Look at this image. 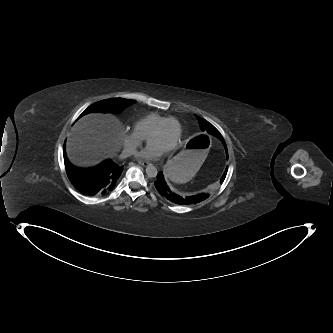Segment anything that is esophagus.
Segmentation results:
<instances>
[{"label": "esophagus", "mask_w": 333, "mask_h": 333, "mask_svg": "<svg viewBox=\"0 0 333 333\" xmlns=\"http://www.w3.org/2000/svg\"><path fill=\"white\" fill-rule=\"evenodd\" d=\"M138 163L144 167L150 165V163L148 161H145V160H138Z\"/></svg>", "instance_id": "esophagus-1"}]
</instances>
